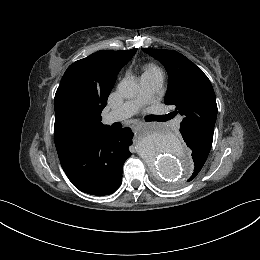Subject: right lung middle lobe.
<instances>
[{"label":"right lung middle lobe","mask_w":260,"mask_h":260,"mask_svg":"<svg viewBox=\"0 0 260 260\" xmlns=\"http://www.w3.org/2000/svg\"><path fill=\"white\" fill-rule=\"evenodd\" d=\"M69 105H70V108L72 109V111H74L75 113H85L93 108L92 105H81V104H77L75 102H70Z\"/></svg>","instance_id":"right-lung-middle-lobe-1"}]
</instances>
